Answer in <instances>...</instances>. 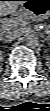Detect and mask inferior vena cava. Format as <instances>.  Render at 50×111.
Listing matches in <instances>:
<instances>
[{"instance_id": "inferior-vena-cava-1", "label": "inferior vena cava", "mask_w": 50, "mask_h": 111, "mask_svg": "<svg viewBox=\"0 0 50 111\" xmlns=\"http://www.w3.org/2000/svg\"><path fill=\"white\" fill-rule=\"evenodd\" d=\"M20 35H21V34H20V31L14 29V30H11V31L6 32V33L4 34V36H3V39H4V41H6V42H11V41H14V40H16L17 38H19Z\"/></svg>"}]
</instances>
